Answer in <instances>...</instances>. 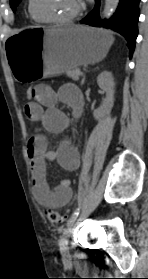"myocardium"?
Segmentation results:
<instances>
[{
    "mask_svg": "<svg viewBox=\"0 0 148 279\" xmlns=\"http://www.w3.org/2000/svg\"><path fill=\"white\" fill-rule=\"evenodd\" d=\"M33 4H34V0H29L28 9H29L30 15L36 21L41 22V23H46V24H65V23H70V22L76 21L77 19H79L82 16V14L86 8L85 1L80 0L78 9L68 16L61 17V18H43V17H39L35 13Z\"/></svg>",
    "mask_w": 148,
    "mask_h": 279,
    "instance_id": "myocardium-1",
    "label": "myocardium"
}]
</instances>
